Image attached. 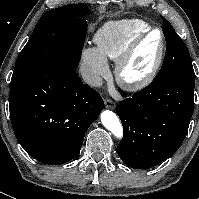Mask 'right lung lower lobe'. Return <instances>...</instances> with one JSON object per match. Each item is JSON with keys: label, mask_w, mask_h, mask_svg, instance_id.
<instances>
[{"label": "right lung lower lobe", "mask_w": 199, "mask_h": 199, "mask_svg": "<svg viewBox=\"0 0 199 199\" xmlns=\"http://www.w3.org/2000/svg\"><path fill=\"white\" fill-rule=\"evenodd\" d=\"M9 104L18 142L30 156L48 165L70 161L105 108L76 69L60 63L48 64L10 86Z\"/></svg>", "instance_id": "right-lung-lower-lobe-1"}]
</instances>
